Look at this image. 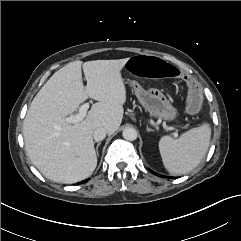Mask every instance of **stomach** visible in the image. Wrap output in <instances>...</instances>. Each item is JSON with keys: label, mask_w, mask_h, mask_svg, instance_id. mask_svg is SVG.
<instances>
[{"label": "stomach", "mask_w": 241, "mask_h": 241, "mask_svg": "<svg viewBox=\"0 0 241 241\" xmlns=\"http://www.w3.org/2000/svg\"><path fill=\"white\" fill-rule=\"evenodd\" d=\"M129 82L133 86L140 104L150 116L168 122L175 120L177 111L160 90H145L137 81L130 80Z\"/></svg>", "instance_id": "1"}]
</instances>
